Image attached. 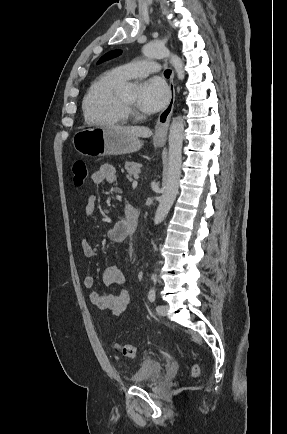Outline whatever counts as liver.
<instances>
[{
    "mask_svg": "<svg viewBox=\"0 0 287 434\" xmlns=\"http://www.w3.org/2000/svg\"><path fill=\"white\" fill-rule=\"evenodd\" d=\"M110 128L121 132L123 134L133 136V137H143L148 138L152 135V131L147 127H140V126H119V125H113L110 126Z\"/></svg>",
    "mask_w": 287,
    "mask_h": 434,
    "instance_id": "obj_1",
    "label": "liver"
}]
</instances>
